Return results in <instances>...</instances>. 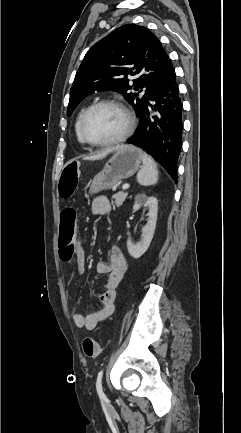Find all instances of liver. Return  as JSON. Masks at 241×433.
I'll return each instance as SVG.
<instances>
[{
  "label": "liver",
  "mask_w": 241,
  "mask_h": 433,
  "mask_svg": "<svg viewBox=\"0 0 241 433\" xmlns=\"http://www.w3.org/2000/svg\"><path fill=\"white\" fill-rule=\"evenodd\" d=\"M122 147H123V146L117 147V148H115L114 150H118V149H120V148H122ZM110 151H112V150L106 151V152L101 153V154L96 155V156L87 157L86 159H88V160L100 159V158H102V157H105V156H106Z\"/></svg>",
  "instance_id": "1"
}]
</instances>
